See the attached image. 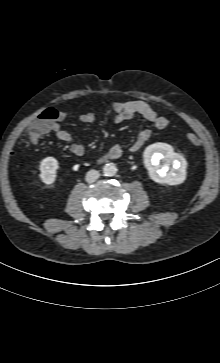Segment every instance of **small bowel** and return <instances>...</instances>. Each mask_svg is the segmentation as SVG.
Segmentation results:
<instances>
[{
	"label": "small bowel",
	"mask_w": 220,
	"mask_h": 363,
	"mask_svg": "<svg viewBox=\"0 0 220 363\" xmlns=\"http://www.w3.org/2000/svg\"><path fill=\"white\" fill-rule=\"evenodd\" d=\"M113 112L115 114V121L120 123L133 118L134 116H140L144 120L153 124L156 130L165 129L169 121L166 117L159 115L151 106L142 101H125L116 102L113 105ZM68 117V113L61 111L59 112L58 121H62ZM79 120L82 123H92L95 120V116L91 112H85L79 115ZM54 122L52 125V131L55 136L62 142L68 143L70 146V151L76 156H82L84 154V147L79 143H73L71 135L64 130L59 122ZM151 130H142L135 141L131 144L129 150L131 152L139 151L150 139ZM123 148L118 145H112L104 155V158L116 159L121 156Z\"/></svg>",
	"instance_id": "c3829d8e"
}]
</instances>
